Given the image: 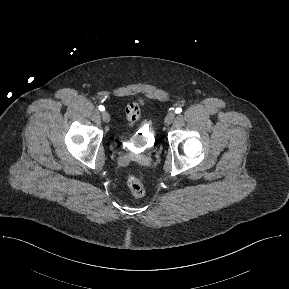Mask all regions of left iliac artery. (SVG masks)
<instances>
[{
    "label": "left iliac artery",
    "instance_id": "left-iliac-artery-1",
    "mask_svg": "<svg viewBox=\"0 0 289 289\" xmlns=\"http://www.w3.org/2000/svg\"><path fill=\"white\" fill-rule=\"evenodd\" d=\"M181 111H182L181 108H177V109L175 110L176 113H180ZM169 120H170V114H169V116L165 119V122L167 123Z\"/></svg>",
    "mask_w": 289,
    "mask_h": 289
}]
</instances>
